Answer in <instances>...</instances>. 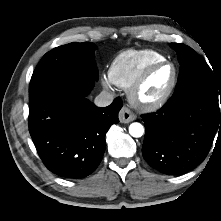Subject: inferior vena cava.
<instances>
[{
    "label": "inferior vena cava",
    "mask_w": 221,
    "mask_h": 221,
    "mask_svg": "<svg viewBox=\"0 0 221 221\" xmlns=\"http://www.w3.org/2000/svg\"><path fill=\"white\" fill-rule=\"evenodd\" d=\"M114 100L113 94L103 90L99 95L95 97L94 103L97 107L109 106Z\"/></svg>",
    "instance_id": "obj_1"
}]
</instances>
